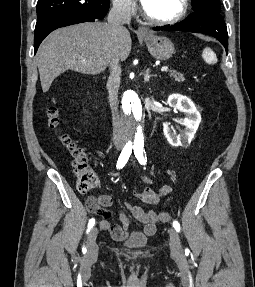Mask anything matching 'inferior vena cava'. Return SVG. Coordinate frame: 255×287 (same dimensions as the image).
<instances>
[{
	"label": "inferior vena cava",
	"instance_id": "1",
	"mask_svg": "<svg viewBox=\"0 0 255 287\" xmlns=\"http://www.w3.org/2000/svg\"><path fill=\"white\" fill-rule=\"evenodd\" d=\"M131 22V6L125 0H115L113 8L108 14V26L112 34V58L109 62L110 76L107 82V90L109 94V104L113 112V142L116 147H123L126 144L128 134L121 126L118 116L117 102L118 90L120 88L121 66L119 64L120 56L118 54V40L124 28L123 24Z\"/></svg>",
	"mask_w": 255,
	"mask_h": 287
}]
</instances>
